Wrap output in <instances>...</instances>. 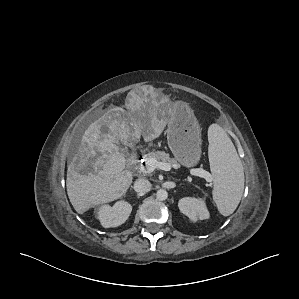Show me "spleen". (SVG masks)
I'll return each instance as SVG.
<instances>
[{
    "label": "spleen",
    "instance_id": "obj_1",
    "mask_svg": "<svg viewBox=\"0 0 299 299\" xmlns=\"http://www.w3.org/2000/svg\"><path fill=\"white\" fill-rule=\"evenodd\" d=\"M208 156L213 175V199L223 216L232 214L243 194L242 162L229 136L218 124L208 128Z\"/></svg>",
    "mask_w": 299,
    "mask_h": 299
}]
</instances>
